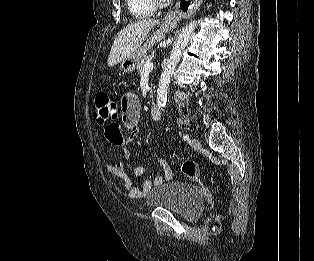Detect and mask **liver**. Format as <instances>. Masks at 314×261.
<instances>
[{"label":"liver","instance_id":"obj_1","mask_svg":"<svg viewBox=\"0 0 314 261\" xmlns=\"http://www.w3.org/2000/svg\"><path fill=\"white\" fill-rule=\"evenodd\" d=\"M157 24L158 20L145 19L130 23L120 30L110 50L108 66L112 67L129 57L142 45L149 31Z\"/></svg>","mask_w":314,"mask_h":261}]
</instances>
